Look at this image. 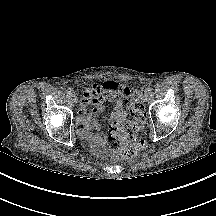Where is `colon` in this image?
I'll return each mask as SVG.
<instances>
[{
  "instance_id": "1",
  "label": "colon",
  "mask_w": 216,
  "mask_h": 216,
  "mask_svg": "<svg viewBox=\"0 0 216 216\" xmlns=\"http://www.w3.org/2000/svg\"><path fill=\"white\" fill-rule=\"evenodd\" d=\"M140 97V90L132 93L129 105L130 120L117 119L109 125V142L114 149L113 159L115 161L131 158L145 147L144 140L137 137L147 118Z\"/></svg>"
}]
</instances>
